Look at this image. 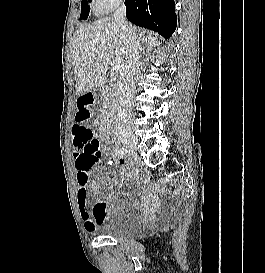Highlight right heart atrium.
<instances>
[{"instance_id": "d8ad5b80", "label": "right heart atrium", "mask_w": 265, "mask_h": 273, "mask_svg": "<svg viewBox=\"0 0 265 273\" xmlns=\"http://www.w3.org/2000/svg\"><path fill=\"white\" fill-rule=\"evenodd\" d=\"M123 2L124 0H92V7L97 13H105L122 5Z\"/></svg>"}]
</instances>
